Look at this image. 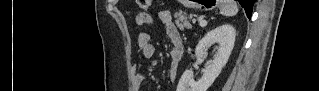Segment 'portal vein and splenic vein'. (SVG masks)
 Returning a JSON list of instances; mask_svg holds the SVG:
<instances>
[{"mask_svg":"<svg viewBox=\"0 0 319 91\" xmlns=\"http://www.w3.org/2000/svg\"><path fill=\"white\" fill-rule=\"evenodd\" d=\"M193 22H195V21H193ZM199 25H200L201 27H205V26L207 25V22H206V21H200V22H199Z\"/></svg>","mask_w":319,"mask_h":91,"instance_id":"1","label":"portal vein and splenic vein"}]
</instances>
